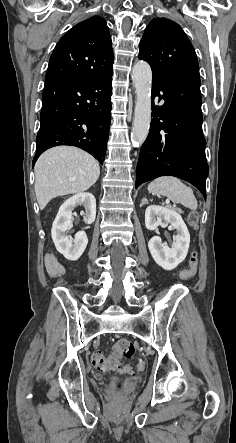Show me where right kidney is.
Listing matches in <instances>:
<instances>
[{
  "label": "right kidney",
  "mask_w": 236,
  "mask_h": 443,
  "mask_svg": "<svg viewBox=\"0 0 236 443\" xmlns=\"http://www.w3.org/2000/svg\"><path fill=\"white\" fill-rule=\"evenodd\" d=\"M76 206L85 208L84 221L91 224L96 217V200L91 193H78L67 199L60 207L52 225V239L58 252L71 261L78 260L86 249L88 238L84 231L76 233L75 238L67 236L73 220L72 211Z\"/></svg>",
  "instance_id": "ca27d5eb"
}]
</instances>
